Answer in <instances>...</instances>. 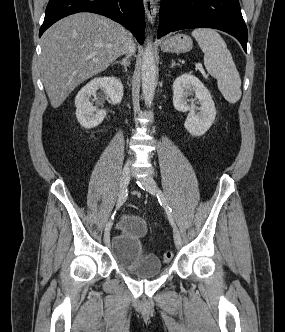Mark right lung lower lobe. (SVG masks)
Segmentation results:
<instances>
[{
  "label": "right lung lower lobe",
  "mask_w": 285,
  "mask_h": 332,
  "mask_svg": "<svg viewBox=\"0 0 285 332\" xmlns=\"http://www.w3.org/2000/svg\"><path fill=\"white\" fill-rule=\"evenodd\" d=\"M77 12L104 15L128 28L140 44L145 39L142 0H50L39 36L59 19Z\"/></svg>",
  "instance_id": "right-lung-lower-lobe-1"
}]
</instances>
